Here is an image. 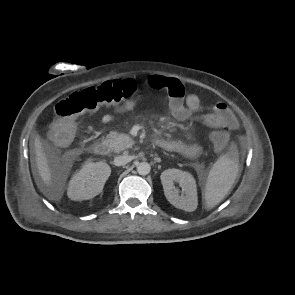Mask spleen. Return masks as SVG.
I'll return each instance as SVG.
<instances>
[{
  "label": "spleen",
  "mask_w": 295,
  "mask_h": 295,
  "mask_svg": "<svg viewBox=\"0 0 295 295\" xmlns=\"http://www.w3.org/2000/svg\"><path fill=\"white\" fill-rule=\"evenodd\" d=\"M239 164L232 152L221 156L209 171L205 187V204L210 209L228 193L238 174Z\"/></svg>",
  "instance_id": "spleen-1"
}]
</instances>
